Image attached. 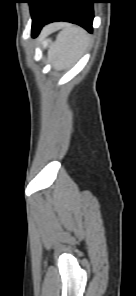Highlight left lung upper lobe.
I'll use <instances>...</instances> for the list:
<instances>
[{
    "label": "left lung upper lobe",
    "instance_id": "obj_1",
    "mask_svg": "<svg viewBox=\"0 0 136 296\" xmlns=\"http://www.w3.org/2000/svg\"><path fill=\"white\" fill-rule=\"evenodd\" d=\"M53 0H28L32 15V24L42 20L51 8Z\"/></svg>",
    "mask_w": 136,
    "mask_h": 296
}]
</instances>
